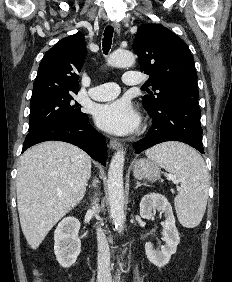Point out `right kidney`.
<instances>
[{"label":"right kidney","instance_id":"1","mask_svg":"<svg viewBox=\"0 0 232 282\" xmlns=\"http://www.w3.org/2000/svg\"><path fill=\"white\" fill-rule=\"evenodd\" d=\"M80 222L75 217L64 218L54 232V253L63 268L72 266L81 252L78 237Z\"/></svg>","mask_w":232,"mask_h":282}]
</instances>
